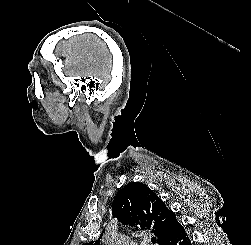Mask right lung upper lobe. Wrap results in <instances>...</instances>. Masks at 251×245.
Listing matches in <instances>:
<instances>
[{"label": "right lung upper lobe", "mask_w": 251, "mask_h": 245, "mask_svg": "<svg viewBox=\"0 0 251 245\" xmlns=\"http://www.w3.org/2000/svg\"><path fill=\"white\" fill-rule=\"evenodd\" d=\"M112 213L123 225L151 230L160 245L182 228L165 203L140 182H130L119 190L113 200ZM101 236L84 245H100Z\"/></svg>", "instance_id": "right-lung-upper-lobe-1"}]
</instances>
